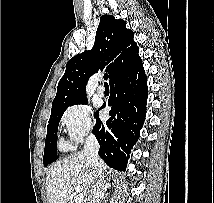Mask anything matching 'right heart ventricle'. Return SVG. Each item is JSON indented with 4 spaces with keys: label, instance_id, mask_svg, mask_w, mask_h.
<instances>
[{
    "label": "right heart ventricle",
    "instance_id": "e07e8e85",
    "mask_svg": "<svg viewBox=\"0 0 214 203\" xmlns=\"http://www.w3.org/2000/svg\"><path fill=\"white\" fill-rule=\"evenodd\" d=\"M61 146H62V147H65L66 145H65L64 143H61Z\"/></svg>",
    "mask_w": 214,
    "mask_h": 203
}]
</instances>
